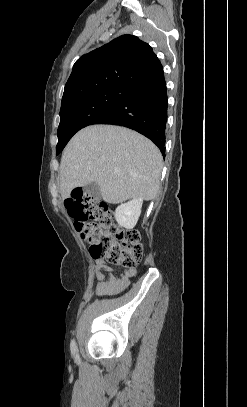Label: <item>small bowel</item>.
I'll list each match as a JSON object with an SVG mask.
<instances>
[{
  "mask_svg": "<svg viewBox=\"0 0 247 407\" xmlns=\"http://www.w3.org/2000/svg\"><path fill=\"white\" fill-rule=\"evenodd\" d=\"M102 270H107L109 273L105 275ZM93 273L100 283L96 286L97 295H109L116 294L124 290L129 286L131 279L136 276V269H127L121 274L120 277H116L112 269L102 259L95 261Z\"/></svg>",
  "mask_w": 247,
  "mask_h": 407,
  "instance_id": "obj_1",
  "label": "small bowel"
}]
</instances>
